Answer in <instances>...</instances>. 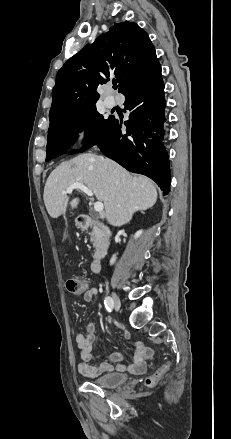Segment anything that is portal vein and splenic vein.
<instances>
[{
	"label": "portal vein and splenic vein",
	"instance_id": "18ae733b",
	"mask_svg": "<svg viewBox=\"0 0 231 439\" xmlns=\"http://www.w3.org/2000/svg\"><path fill=\"white\" fill-rule=\"evenodd\" d=\"M74 189H80L81 191H83L84 193H86V194H87L88 196H90V197H92V196L94 195V193L92 192V190H90L87 186H85V185L82 184V183H74V184H72L71 186H69V187L66 189V193L71 194L72 191H73ZM94 210H95L96 212L102 214V213H103V210H104V205H103V203L100 202V201L95 202V203H94Z\"/></svg>",
	"mask_w": 231,
	"mask_h": 439
}]
</instances>
